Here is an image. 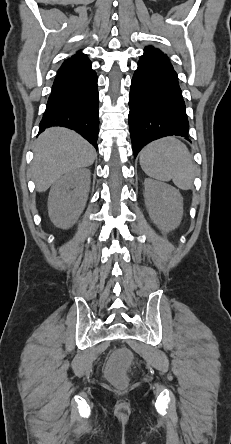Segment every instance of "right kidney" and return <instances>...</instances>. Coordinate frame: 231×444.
Wrapping results in <instances>:
<instances>
[{
    "label": "right kidney",
    "instance_id": "obj_1",
    "mask_svg": "<svg viewBox=\"0 0 231 444\" xmlns=\"http://www.w3.org/2000/svg\"><path fill=\"white\" fill-rule=\"evenodd\" d=\"M90 171L80 169L58 179L51 187L48 213L57 227L74 225L85 208L90 189Z\"/></svg>",
    "mask_w": 231,
    "mask_h": 444
}]
</instances>
